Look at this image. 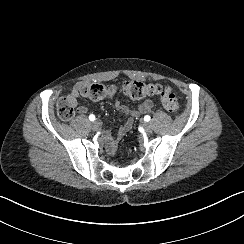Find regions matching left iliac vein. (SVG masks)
<instances>
[{
  "label": "left iliac vein",
  "instance_id": "4c4485c4",
  "mask_svg": "<svg viewBox=\"0 0 244 244\" xmlns=\"http://www.w3.org/2000/svg\"><path fill=\"white\" fill-rule=\"evenodd\" d=\"M142 126H143L144 130L146 131V133H148V134H150L153 130L151 124L148 122H144Z\"/></svg>",
  "mask_w": 244,
  "mask_h": 244
}]
</instances>
